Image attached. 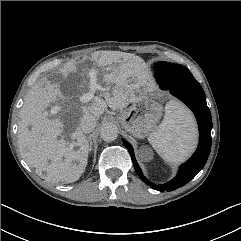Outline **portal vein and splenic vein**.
<instances>
[{"mask_svg":"<svg viewBox=\"0 0 241 241\" xmlns=\"http://www.w3.org/2000/svg\"><path fill=\"white\" fill-rule=\"evenodd\" d=\"M92 88L94 89V88H98V86H96V85H92ZM92 94H88L86 97H84V100H86V101H89L91 98H92Z\"/></svg>","mask_w":241,"mask_h":241,"instance_id":"portal-vein-and-splenic-vein-1","label":"portal vein and splenic vein"}]
</instances>
